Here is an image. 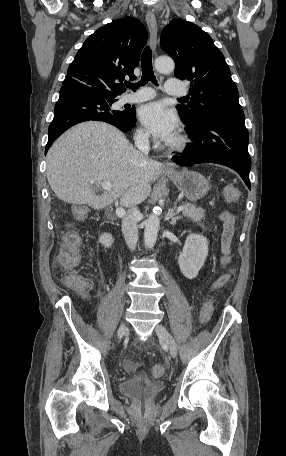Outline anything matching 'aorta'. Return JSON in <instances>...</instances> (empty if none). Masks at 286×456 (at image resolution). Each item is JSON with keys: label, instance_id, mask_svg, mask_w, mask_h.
Returning <instances> with one entry per match:
<instances>
[{"label": "aorta", "instance_id": "762f6f07", "mask_svg": "<svg viewBox=\"0 0 286 456\" xmlns=\"http://www.w3.org/2000/svg\"><path fill=\"white\" fill-rule=\"evenodd\" d=\"M155 68L160 73H169L174 70L175 64L171 58L158 57L155 60ZM159 226V210L155 209V211L148 217L145 224L144 242L146 247L150 249L154 247L158 236Z\"/></svg>", "mask_w": 286, "mask_h": 456}]
</instances>
